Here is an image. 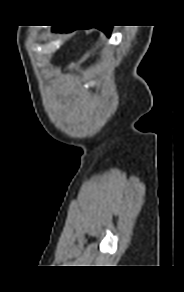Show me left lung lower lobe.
Masks as SVG:
<instances>
[{
	"label": "left lung lower lobe",
	"mask_w": 184,
	"mask_h": 292,
	"mask_svg": "<svg viewBox=\"0 0 184 292\" xmlns=\"http://www.w3.org/2000/svg\"><path fill=\"white\" fill-rule=\"evenodd\" d=\"M98 29L102 30L104 33L107 35H110L112 27L111 26H95ZM81 28H90V26H64V27H54L55 31H65V32H71L76 29H81Z\"/></svg>",
	"instance_id": "left-lung-lower-lobe-1"
}]
</instances>
